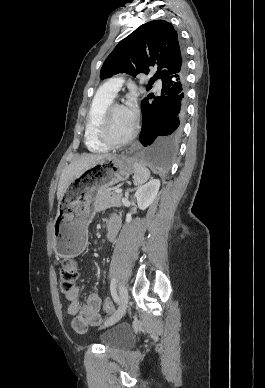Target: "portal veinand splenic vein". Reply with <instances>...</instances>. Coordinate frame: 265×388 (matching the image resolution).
Returning <instances> with one entry per match:
<instances>
[{
    "instance_id": "portal-vein-and-splenic-vein-1",
    "label": "portal vein and splenic vein",
    "mask_w": 265,
    "mask_h": 388,
    "mask_svg": "<svg viewBox=\"0 0 265 388\" xmlns=\"http://www.w3.org/2000/svg\"><path fill=\"white\" fill-rule=\"evenodd\" d=\"M114 192H116V194H121V192H123V190H121V188H120V190H114Z\"/></svg>"
}]
</instances>
